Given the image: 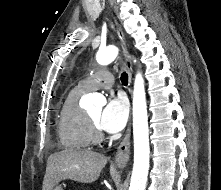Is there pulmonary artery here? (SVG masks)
Segmentation results:
<instances>
[{
    "mask_svg": "<svg viewBox=\"0 0 221 190\" xmlns=\"http://www.w3.org/2000/svg\"><path fill=\"white\" fill-rule=\"evenodd\" d=\"M113 83L114 77L109 70H99L81 80L79 85L86 91H92L100 87L110 88Z\"/></svg>",
    "mask_w": 221,
    "mask_h": 190,
    "instance_id": "1",
    "label": "pulmonary artery"
}]
</instances>
